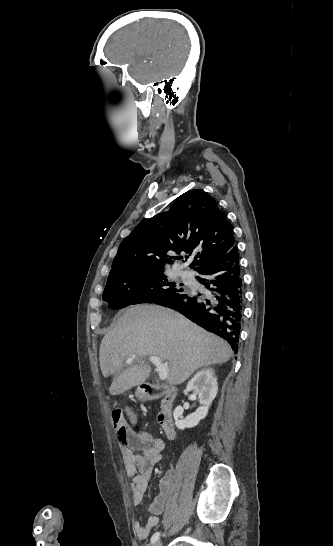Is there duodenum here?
Here are the masks:
<instances>
[{
  "mask_svg": "<svg viewBox=\"0 0 333 546\" xmlns=\"http://www.w3.org/2000/svg\"><path fill=\"white\" fill-rule=\"evenodd\" d=\"M141 394L146 400L161 399V408L158 413V422L162 427L163 433L166 438L174 439L175 427L172 417V410L177 395L176 388L173 386L144 384L141 386Z\"/></svg>",
  "mask_w": 333,
  "mask_h": 546,
  "instance_id": "1",
  "label": "duodenum"
}]
</instances>
